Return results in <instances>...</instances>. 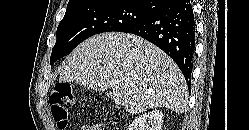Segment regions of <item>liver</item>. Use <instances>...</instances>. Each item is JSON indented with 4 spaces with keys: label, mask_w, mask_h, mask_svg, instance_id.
Masks as SVG:
<instances>
[{
    "label": "liver",
    "mask_w": 249,
    "mask_h": 130,
    "mask_svg": "<svg viewBox=\"0 0 249 130\" xmlns=\"http://www.w3.org/2000/svg\"><path fill=\"white\" fill-rule=\"evenodd\" d=\"M59 80L101 92L111 88L114 101L129 113L158 107L183 113L189 97L176 63L147 40L125 33L82 42L63 63Z\"/></svg>",
    "instance_id": "liver-1"
}]
</instances>
